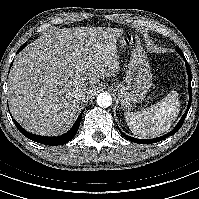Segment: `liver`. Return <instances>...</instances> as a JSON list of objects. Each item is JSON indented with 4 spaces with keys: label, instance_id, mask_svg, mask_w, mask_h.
<instances>
[{
    "label": "liver",
    "instance_id": "6515ba94",
    "mask_svg": "<svg viewBox=\"0 0 199 199\" xmlns=\"http://www.w3.org/2000/svg\"><path fill=\"white\" fill-rule=\"evenodd\" d=\"M119 28L75 27L52 31L16 57L8 80L13 117L29 132L57 136L72 125L100 79L119 72ZM76 89L84 97H73Z\"/></svg>",
    "mask_w": 199,
    "mask_h": 199
}]
</instances>
